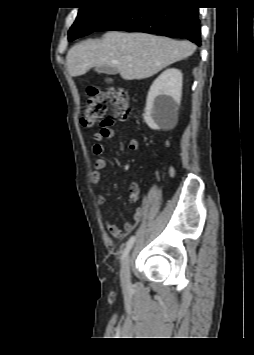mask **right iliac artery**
<instances>
[{
    "mask_svg": "<svg viewBox=\"0 0 254 355\" xmlns=\"http://www.w3.org/2000/svg\"><path fill=\"white\" fill-rule=\"evenodd\" d=\"M134 242H135V236L130 237V239L126 242V247H125V249L123 250V253H122V258H121L122 260H124L127 257V255L129 253V251L131 250Z\"/></svg>",
    "mask_w": 254,
    "mask_h": 355,
    "instance_id": "1",
    "label": "right iliac artery"
}]
</instances>
